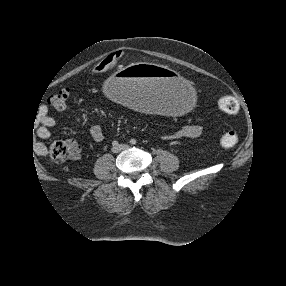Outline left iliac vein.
I'll return each instance as SVG.
<instances>
[{"instance_id": "left-iliac-vein-1", "label": "left iliac vein", "mask_w": 286, "mask_h": 286, "mask_svg": "<svg viewBox=\"0 0 286 286\" xmlns=\"http://www.w3.org/2000/svg\"><path fill=\"white\" fill-rule=\"evenodd\" d=\"M128 145H126V144H121V145H119V149L120 150H125V149H128Z\"/></svg>"}]
</instances>
